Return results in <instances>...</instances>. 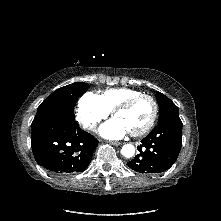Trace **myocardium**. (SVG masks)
Wrapping results in <instances>:
<instances>
[{
    "label": "myocardium",
    "instance_id": "obj_1",
    "mask_svg": "<svg viewBox=\"0 0 221 221\" xmlns=\"http://www.w3.org/2000/svg\"><path fill=\"white\" fill-rule=\"evenodd\" d=\"M143 98H147L152 102L153 113H152L151 119L149 120V122L143 128H141L140 130L135 131V132H130V135L133 136V137H139V136L145 135L155 125L156 120L158 118V113H159V106H158L157 100L150 94L141 93V94H138L136 96H133V97L123 101L118 106H116V108L112 112L113 116H115L118 112L129 109L138 100L143 99Z\"/></svg>",
    "mask_w": 221,
    "mask_h": 221
}]
</instances>
